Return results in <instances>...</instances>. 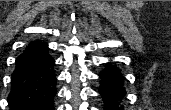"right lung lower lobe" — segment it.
<instances>
[{
  "label": "right lung lower lobe",
  "instance_id": "98d812e1",
  "mask_svg": "<svg viewBox=\"0 0 171 110\" xmlns=\"http://www.w3.org/2000/svg\"><path fill=\"white\" fill-rule=\"evenodd\" d=\"M55 60L47 43L32 41L17 57L8 105L11 110H54Z\"/></svg>",
  "mask_w": 171,
  "mask_h": 110
}]
</instances>
